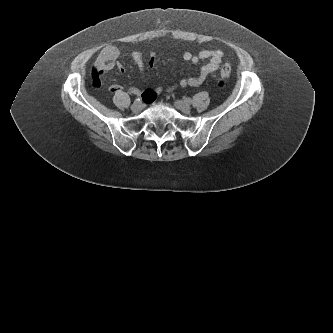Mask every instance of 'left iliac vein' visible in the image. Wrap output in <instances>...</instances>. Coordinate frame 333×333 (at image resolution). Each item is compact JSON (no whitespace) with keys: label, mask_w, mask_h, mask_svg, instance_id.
<instances>
[{"label":"left iliac vein","mask_w":333,"mask_h":333,"mask_svg":"<svg viewBox=\"0 0 333 333\" xmlns=\"http://www.w3.org/2000/svg\"><path fill=\"white\" fill-rule=\"evenodd\" d=\"M174 105L178 110L182 111L185 114H189L191 111V107L182 100L175 101Z\"/></svg>","instance_id":"1"}]
</instances>
